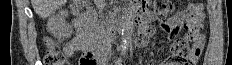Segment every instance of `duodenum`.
I'll use <instances>...</instances> for the list:
<instances>
[{
    "instance_id": "1",
    "label": "duodenum",
    "mask_w": 232,
    "mask_h": 65,
    "mask_svg": "<svg viewBox=\"0 0 232 65\" xmlns=\"http://www.w3.org/2000/svg\"><path fill=\"white\" fill-rule=\"evenodd\" d=\"M74 12L77 15V26L86 34L90 51L101 53L105 47L115 42L121 37V29H114L106 33L98 32L94 27L93 13L85 7L82 2L77 1L74 4ZM137 26L146 29L147 24L144 19L138 22Z\"/></svg>"
}]
</instances>
